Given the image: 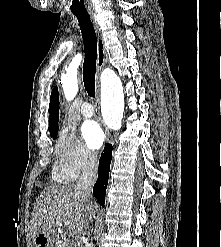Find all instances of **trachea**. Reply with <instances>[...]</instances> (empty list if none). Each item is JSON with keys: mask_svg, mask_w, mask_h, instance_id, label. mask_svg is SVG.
Listing matches in <instances>:
<instances>
[{"mask_svg": "<svg viewBox=\"0 0 221 247\" xmlns=\"http://www.w3.org/2000/svg\"><path fill=\"white\" fill-rule=\"evenodd\" d=\"M79 22L85 58L83 63V82L90 97H95V73L97 59V37L89 15L74 14Z\"/></svg>", "mask_w": 221, "mask_h": 247, "instance_id": "3493384b", "label": "trachea"}]
</instances>
